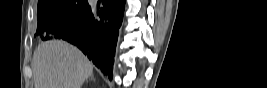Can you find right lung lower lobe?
<instances>
[{"instance_id":"right-lung-lower-lobe-1","label":"right lung lower lobe","mask_w":267,"mask_h":88,"mask_svg":"<svg viewBox=\"0 0 267 88\" xmlns=\"http://www.w3.org/2000/svg\"><path fill=\"white\" fill-rule=\"evenodd\" d=\"M126 0H103V7L94 17L89 5L76 19L65 22L53 32V37L76 45L93 63L112 79L116 43L122 24Z\"/></svg>"}]
</instances>
